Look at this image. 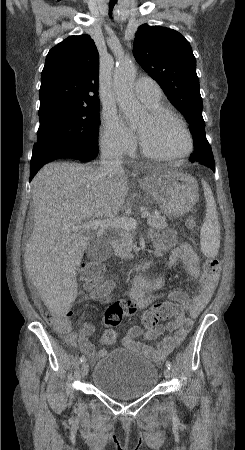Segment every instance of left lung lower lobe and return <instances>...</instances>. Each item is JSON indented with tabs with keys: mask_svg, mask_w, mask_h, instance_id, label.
Masks as SVG:
<instances>
[{
	"mask_svg": "<svg viewBox=\"0 0 245 450\" xmlns=\"http://www.w3.org/2000/svg\"><path fill=\"white\" fill-rule=\"evenodd\" d=\"M206 155L208 158H203V157H195L196 159H198L202 164L207 165L208 167H210L213 171H215V162H214V157H213V153L212 150L209 147H200L199 151L195 153V155ZM191 162H194L192 160H190Z\"/></svg>",
	"mask_w": 245,
	"mask_h": 450,
	"instance_id": "obj_1",
	"label": "left lung lower lobe"
}]
</instances>
